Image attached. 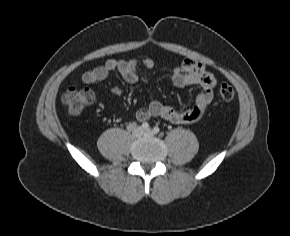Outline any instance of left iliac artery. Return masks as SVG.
<instances>
[{
  "label": "left iliac artery",
  "mask_w": 290,
  "mask_h": 236,
  "mask_svg": "<svg viewBox=\"0 0 290 236\" xmlns=\"http://www.w3.org/2000/svg\"><path fill=\"white\" fill-rule=\"evenodd\" d=\"M160 131V129H159V127L158 126H155L154 128H153V132L154 133H158Z\"/></svg>",
  "instance_id": "obj_1"
}]
</instances>
